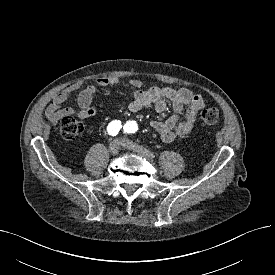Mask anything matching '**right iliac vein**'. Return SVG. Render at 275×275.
Returning a JSON list of instances; mask_svg holds the SVG:
<instances>
[{
    "mask_svg": "<svg viewBox=\"0 0 275 275\" xmlns=\"http://www.w3.org/2000/svg\"><path fill=\"white\" fill-rule=\"evenodd\" d=\"M120 145H121V142L116 139V140H113L110 144H109V152L112 153V154H116L118 153L119 149H120Z\"/></svg>",
    "mask_w": 275,
    "mask_h": 275,
    "instance_id": "63e3f726",
    "label": "right iliac vein"
}]
</instances>
